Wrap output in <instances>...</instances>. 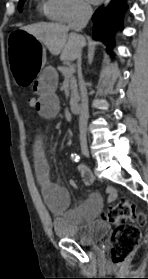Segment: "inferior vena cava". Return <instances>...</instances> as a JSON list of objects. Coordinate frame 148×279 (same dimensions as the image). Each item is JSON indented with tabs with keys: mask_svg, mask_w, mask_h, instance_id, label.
I'll list each match as a JSON object with an SVG mask.
<instances>
[{
	"mask_svg": "<svg viewBox=\"0 0 148 279\" xmlns=\"http://www.w3.org/2000/svg\"><path fill=\"white\" fill-rule=\"evenodd\" d=\"M92 16V8L89 5L81 4L78 6L75 18L72 23L69 24L68 28L74 32H80L83 28L86 27L88 21ZM77 67H78V77L79 85L81 91V112L79 117V130H80V144L82 147L87 145L86 140V130L88 122V95L85 82L83 80L81 72V54L77 57Z\"/></svg>",
	"mask_w": 148,
	"mask_h": 279,
	"instance_id": "obj_1",
	"label": "inferior vena cava"
}]
</instances>
